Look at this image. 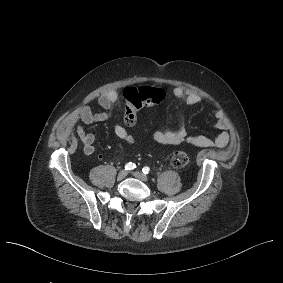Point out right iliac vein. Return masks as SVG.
<instances>
[{
	"instance_id": "1",
	"label": "right iliac vein",
	"mask_w": 283,
	"mask_h": 283,
	"mask_svg": "<svg viewBox=\"0 0 283 283\" xmlns=\"http://www.w3.org/2000/svg\"><path fill=\"white\" fill-rule=\"evenodd\" d=\"M127 176V171L126 170H121L118 174V179L122 180Z\"/></svg>"
}]
</instances>
